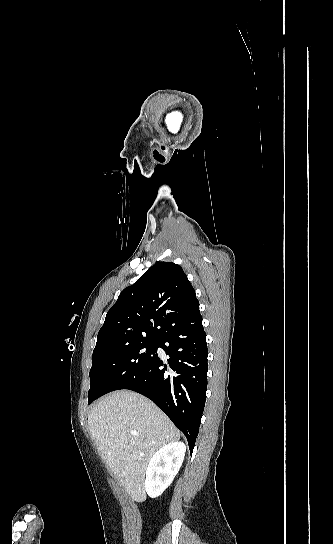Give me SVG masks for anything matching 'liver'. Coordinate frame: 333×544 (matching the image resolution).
Wrapping results in <instances>:
<instances>
[{
  "instance_id": "1",
  "label": "liver",
  "mask_w": 333,
  "mask_h": 544,
  "mask_svg": "<svg viewBox=\"0 0 333 544\" xmlns=\"http://www.w3.org/2000/svg\"><path fill=\"white\" fill-rule=\"evenodd\" d=\"M88 426L115 479L133 500L143 501L147 463L161 446L179 440L177 428L150 400L125 390L103 398L91 410Z\"/></svg>"
}]
</instances>
